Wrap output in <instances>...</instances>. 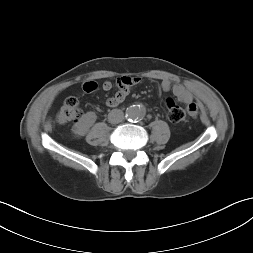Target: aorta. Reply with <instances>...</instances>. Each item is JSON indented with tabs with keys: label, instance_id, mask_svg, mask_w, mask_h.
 I'll return each mask as SVG.
<instances>
[{
	"label": "aorta",
	"instance_id": "obj_1",
	"mask_svg": "<svg viewBox=\"0 0 253 253\" xmlns=\"http://www.w3.org/2000/svg\"><path fill=\"white\" fill-rule=\"evenodd\" d=\"M126 116L130 120H141L145 116V109L139 105H132L126 110Z\"/></svg>",
	"mask_w": 253,
	"mask_h": 253
}]
</instances>
